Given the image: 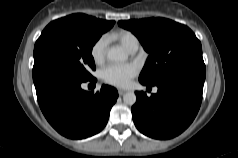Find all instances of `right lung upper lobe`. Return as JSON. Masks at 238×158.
<instances>
[{
  "mask_svg": "<svg viewBox=\"0 0 238 158\" xmlns=\"http://www.w3.org/2000/svg\"><path fill=\"white\" fill-rule=\"evenodd\" d=\"M70 16H74V17H79V18H84V19H87V20H90L96 24H98L99 26L103 27V28H106V29H110L112 28V26L114 25V21H106V20H101V19H96L94 17H91V16H88V15H85V14H73V15H70Z\"/></svg>",
  "mask_w": 238,
  "mask_h": 158,
  "instance_id": "cb5924a9",
  "label": "right lung upper lobe"
}]
</instances>
